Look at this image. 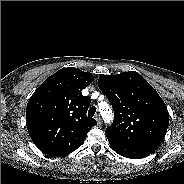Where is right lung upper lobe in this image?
Here are the masks:
<instances>
[{"instance_id":"cb5924a9","label":"right lung upper lobe","mask_w":184,"mask_h":184,"mask_svg":"<svg viewBox=\"0 0 184 184\" xmlns=\"http://www.w3.org/2000/svg\"><path fill=\"white\" fill-rule=\"evenodd\" d=\"M94 80L89 72L63 68L33 93L26 125L35 145L49 156H64L79 148L96 120L86 117L91 100L81 91Z\"/></svg>"}]
</instances>
